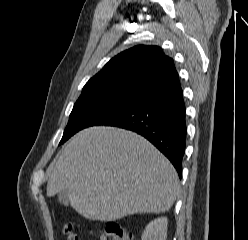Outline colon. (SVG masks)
<instances>
[{"instance_id": "obj_1", "label": "colon", "mask_w": 248, "mask_h": 240, "mask_svg": "<svg viewBox=\"0 0 248 240\" xmlns=\"http://www.w3.org/2000/svg\"><path fill=\"white\" fill-rule=\"evenodd\" d=\"M66 240H79L72 225L63 228ZM100 240H133L132 235L116 222H108Z\"/></svg>"}]
</instances>
